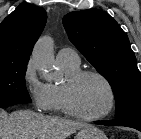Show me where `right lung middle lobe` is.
I'll use <instances>...</instances> for the list:
<instances>
[{"label":"right lung middle lobe","instance_id":"right-lung-middle-lobe-1","mask_svg":"<svg viewBox=\"0 0 141 139\" xmlns=\"http://www.w3.org/2000/svg\"><path fill=\"white\" fill-rule=\"evenodd\" d=\"M27 63H0V108L30 103L25 85Z\"/></svg>","mask_w":141,"mask_h":139}]
</instances>
